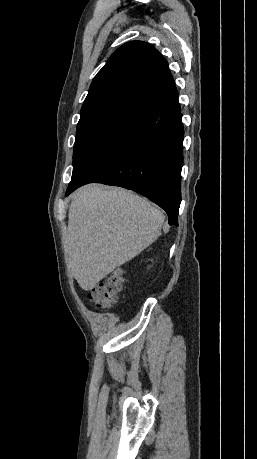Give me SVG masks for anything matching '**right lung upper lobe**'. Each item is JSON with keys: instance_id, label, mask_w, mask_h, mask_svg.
<instances>
[{"instance_id": "1", "label": "right lung upper lobe", "mask_w": 257, "mask_h": 459, "mask_svg": "<svg viewBox=\"0 0 257 459\" xmlns=\"http://www.w3.org/2000/svg\"><path fill=\"white\" fill-rule=\"evenodd\" d=\"M174 88L168 63L158 50L131 41L118 48L95 76L81 115L109 107L137 112Z\"/></svg>"}]
</instances>
